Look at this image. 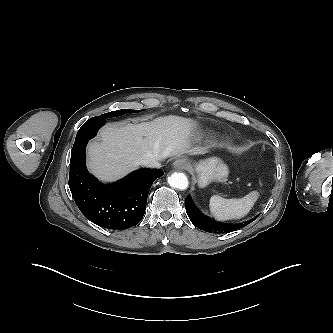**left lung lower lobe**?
<instances>
[{"instance_id": "0a47b994", "label": "left lung lower lobe", "mask_w": 333, "mask_h": 333, "mask_svg": "<svg viewBox=\"0 0 333 333\" xmlns=\"http://www.w3.org/2000/svg\"><path fill=\"white\" fill-rule=\"evenodd\" d=\"M185 208L191 222L199 229L209 233L224 234L234 230L243 228L254 221L251 220L238 223V224H222L211 220L209 217L202 215L190 202L189 197L185 199Z\"/></svg>"}]
</instances>
